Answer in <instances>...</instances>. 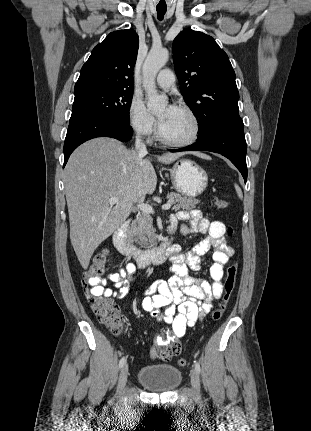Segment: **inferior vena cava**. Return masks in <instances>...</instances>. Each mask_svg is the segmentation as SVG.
I'll return each instance as SVG.
<instances>
[{
	"label": "inferior vena cava",
	"mask_w": 311,
	"mask_h": 431,
	"mask_svg": "<svg viewBox=\"0 0 311 431\" xmlns=\"http://www.w3.org/2000/svg\"><path fill=\"white\" fill-rule=\"evenodd\" d=\"M135 150H136V152H138V154H144V156H146V154H148L147 148H146L143 140H141L140 134H137V136H136Z\"/></svg>",
	"instance_id": "obj_1"
}]
</instances>
